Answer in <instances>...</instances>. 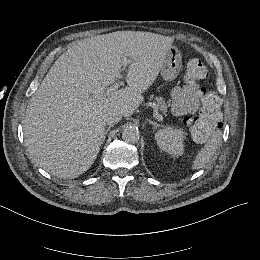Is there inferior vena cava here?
Wrapping results in <instances>:
<instances>
[{
	"label": "inferior vena cava",
	"mask_w": 260,
	"mask_h": 260,
	"mask_svg": "<svg viewBox=\"0 0 260 260\" xmlns=\"http://www.w3.org/2000/svg\"><path fill=\"white\" fill-rule=\"evenodd\" d=\"M122 115L118 111H111L107 114L105 123L109 126H113L114 124H117L121 120ZM102 128V124H98L96 127V132H100Z\"/></svg>",
	"instance_id": "1"
}]
</instances>
